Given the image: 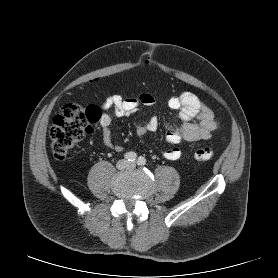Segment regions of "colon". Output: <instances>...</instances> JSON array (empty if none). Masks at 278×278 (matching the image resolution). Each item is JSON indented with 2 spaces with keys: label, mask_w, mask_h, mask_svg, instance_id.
Here are the masks:
<instances>
[{
  "label": "colon",
  "mask_w": 278,
  "mask_h": 278,
  "mask_svg": "<svg viewBox=\"0 0 278 278\" xmlns=\"http://www.w3.org/2000/svg\"><path fill=\"white\" fill-rule=\"evenodd\" d=\"M101 117L99 107L70 103L64 105L54 117L50 128V147L57 160H63L68 152L87 134L93 132L92 125ZM213 157L210 147H201L194 151L193 158L206 162Z\"/></svg>",
  "instance_id": "5ec220e1"
}]
</instances>
